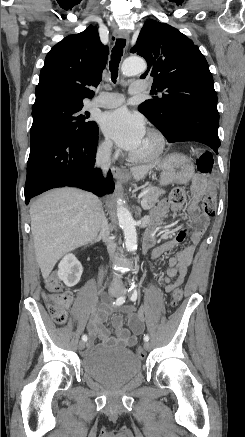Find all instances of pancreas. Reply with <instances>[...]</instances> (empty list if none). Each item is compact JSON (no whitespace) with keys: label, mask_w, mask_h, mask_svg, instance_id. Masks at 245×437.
Wrapping results in <instances>:
<instances>
[{"label":"pancreas","mask_w":245,"mask_h":437,"mask_svg":"<svg viewBox=\"0 0 245 437\" xmlns=\"http://www.w3.org/2000/svg\"><path fill=\"white\" fill-rule=\"evenodd\" d=\"M165 193V191L158 187L150 186L147 189L143 190L142 199H145L149 208L155 206L157 202H159V198Z\"/></svg>","instance_id":"pancreas-1"}]
</instances>
